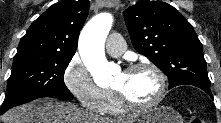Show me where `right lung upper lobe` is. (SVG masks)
Listing matches in <instances>:
<instances>
[{
	"label": "right lung upper lobe",
	"instance_id": "right-lung-upper-lobe-1",
	"mask_svg": "<svg viewBox=\"0 0 221 123\" xmlns=\"http://www.w3.org/2000/svg\"><path fill=\"white\" fill-rule=\"evenodd\" d=\"M89 0L59 1L36 19L21 38L18 50L75 54Z\"/></svg>",
	"mask_w": 221,
	"mask_h": 123
}]
</instances>
